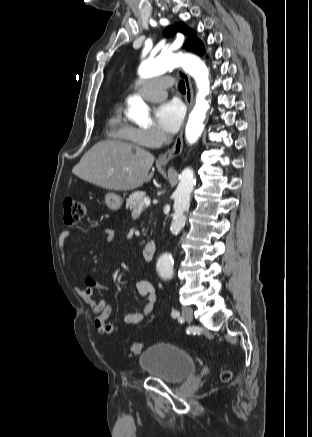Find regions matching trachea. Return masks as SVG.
Here are the masks:
<instances>
[{
  "instance_id": "1",
  "label": "trachea",
  "mask_w": 312,
  "mask_h": 437,
  "mask_svg": "<svg viewBox=\"0 0 312 437\" xmlns=\"http://www.w3.org/2000/svg\"><path fill=\"white\" fill-rule=\"evenodd\" d=\"M178 89H179V91L182 92V93H185V92H186L185 83H184L183 80L179 82V84H178Z\"/></svg>"
}]
</instances>
